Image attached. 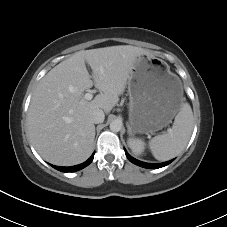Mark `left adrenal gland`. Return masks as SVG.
<instances>
[{
  "instance_id": "left-adrenal-gland-1",
  "label": "left adrenal gland",
  "mask_w": 227,
  "mask_h": 227,
  "mask_svg": "<svg viewBox=\"0 0 227 227\" xmlns=\"http://www.w3.org/2000/svg\"><path fill=\"white\" fill-rule=\"evenodd\" d=\"M128 133L131 134V130H130L129 126H128Z\"/></svg>"
}]
</instances>
